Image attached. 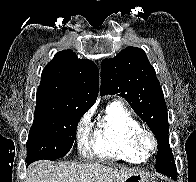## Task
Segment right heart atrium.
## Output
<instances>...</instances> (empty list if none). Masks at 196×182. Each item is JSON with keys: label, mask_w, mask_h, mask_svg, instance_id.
Wrapping results in <instances>:
<instances>
[{"label": "right heart atrium", "mask_w": 196, "mask_h": 182, "mask_svg": "<svg viewBox=\"0 0 196 182\" xmlns=\"http://www.w3.org/2000/svg\"><path fill=\"white\" fill-rule=\"evenodd\" d=\"M87 121H88V115H85V116L81 119V121H80V123H79L78 136H80V135L82 134V132H83V130H84V127H85Z\"/></svg>", "instance_id": "right-heart-atrium-1"}]
</instances>
